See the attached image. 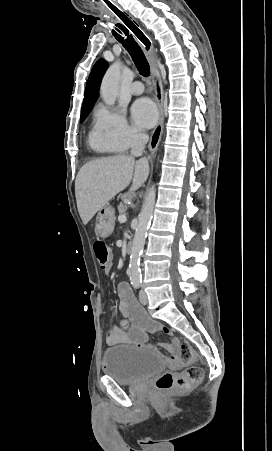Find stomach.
<instances>
[{"instance_id":"stomach-1","label":"stomach","mask_w":272,"mask_h":451,"mask_svg":"<svg viewBox=\"0 0 272 451\" xmlns=\"http://www.w3.org/2000/svg\"><path fill=\"white\" fill-rule=\"evenodd\" d=\"M115 226V214L113 208L107 204L99 210L96 218L94 231L98 237H108Z\"/></svg>"}]
</instances>
